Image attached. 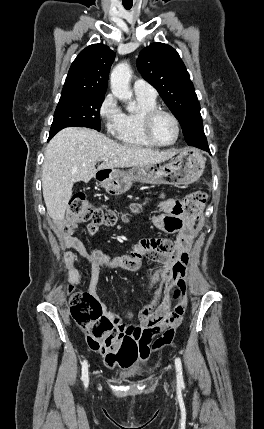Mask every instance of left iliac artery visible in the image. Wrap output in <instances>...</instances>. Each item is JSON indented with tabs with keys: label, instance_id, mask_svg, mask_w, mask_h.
I'll list each match as a JSON object with an SVG mask.
<instances>
[{
	"label": "left iliac artery",
	"instance_id": "44dca946",
	"mask_svg": "<svg viewBox=\"0 0 264 429\" xmlns=\"http://www.w3.org/2000/svg\"><path fill=\"white\" fill-rule=\"evenodd\" d=\"M175 367L177 372V382L180 385H184L183 374H182V363L179 358L175 359Z\"/></svg>",
	"mask_w": 264,
	"mask_h": 429
}]
</instances>
